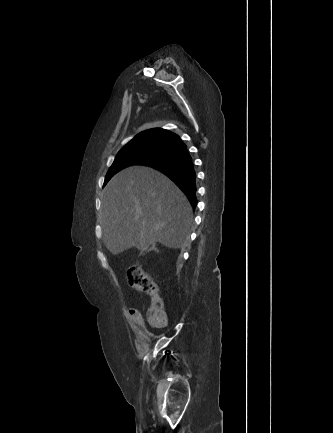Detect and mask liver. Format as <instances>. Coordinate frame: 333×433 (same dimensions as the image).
Wrapping results in <instances>:
<instances>
[{"mask_svg": "<svg viewBox=\"0 0 333 433\" xmlns=\"http://www.w3.org/2000/svg\"><path fill=\"white\" fill-rule=\"evenodd\" d=\"M99 222L106 248L117 255L160 243L181 248L190 232L192 208L164 174L142 166L117 173L103 190Z\"/></svg>", "mask_w": 333, "mask_h": 433, "instance_id": "liver-1", "label": "liver"}]
</instances>
